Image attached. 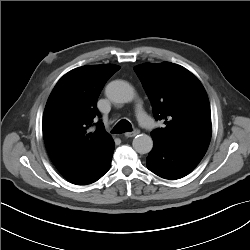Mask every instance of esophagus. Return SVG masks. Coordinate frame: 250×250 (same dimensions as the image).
<instances>
[{
  "label": "esophagus",
  "instance_id": "1",
  "mask_svg": "<svg viewBox=\"0 0 250 250\" xmlns=\"http://www.w3.org/2000/svg\"><path fill=\"white\" fill-rule=\"evenodd\" d=\"M139 133H140V131H139L138 129H135V130L132 131V132H127V133H125V136H126V137H134V136L138 135Z\"/></svg>",
  "mask_w": 250,
  "mask_h": 250
}]
</instances>
